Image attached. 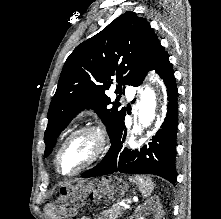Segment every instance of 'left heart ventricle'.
<instances>
[{
	"instance_id": "left-heart-ventricle-1",
	"label": "left heart ventricle",
	"mask_w": 221,
	"mask_h": 219,
	"mask_svg": "<svg viewBox=\"0 0 221 219\" xmlns=\"http://www.w3.org/2000/svg\"><path fill=\"white\" fill-rule=\"evenodd\" d=\"M95 139L91 134L80 135L63 149L59 168L63 173H72L83 166L95 150Z\"/></svg>"
}]
</instances>
